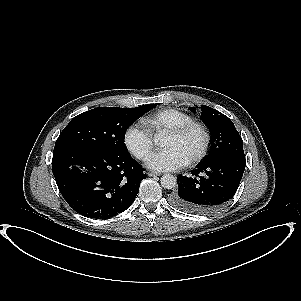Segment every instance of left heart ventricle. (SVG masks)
<instances>
[{"mask_svg": "<svg viewBox=\"0 0 301 301\" xmlns=\"http://www.w3.org/2000/svg\"><path fill=\"white\" fill-rule=\"evenodd\" d=\"M201 142V132L193 128L180 137H165L161 144L165 149H171L183 158L188 159L198 150Z\"/></svg>", "mask_w": 301, "mask_h": 301, "instance_id": "b2bd125f", "label": "left heart ventricle"}]
</instances>
